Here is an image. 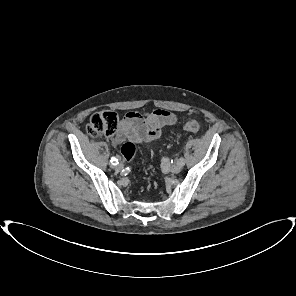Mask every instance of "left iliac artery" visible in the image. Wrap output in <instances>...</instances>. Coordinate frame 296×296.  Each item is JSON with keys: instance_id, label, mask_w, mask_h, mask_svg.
Returning <instances> with one entry per match:
<instances>
[{"instance_id": "44dca946", "label": "left iliac artery", "mask_w": 296, "mask_h": 296, "mask_svg": "<svg viewBox=\"0 0 296 296\" xmlns=\"http://www.w3.org/2000/svg\"><path fill=\"white\" fill-rule=\"evenodd\" d=\"M178 163H180L183 166L185 163L184 158L183 157L179 158Z\"/></svg>"}]
</instances>
